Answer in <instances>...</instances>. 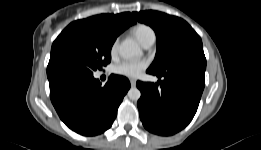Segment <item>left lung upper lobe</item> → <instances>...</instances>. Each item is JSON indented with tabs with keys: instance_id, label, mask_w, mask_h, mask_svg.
Masks as SVG:
<instances>
[{
	"instance_id": "left-lung-upper-lobe-1",
	"label": "left lung upper lobe",
	"mask_w": 261,
	"mask_h": 150,
	"mask_svg": "<svg viewBox=\"0 0 261 150\" xmlns=\"http://www.w3.org/2000/svg\"><path fill=\"white\" fill-rule=\"evenodd\" d=\"M133 15L151 26L157 36V52L149 70L162 72L185 55H204L200 36L183 19L153 10Z\"/></svg>"
}]
</instances>
